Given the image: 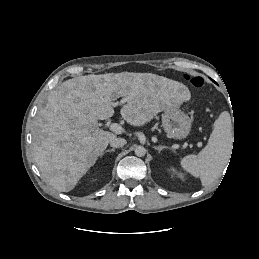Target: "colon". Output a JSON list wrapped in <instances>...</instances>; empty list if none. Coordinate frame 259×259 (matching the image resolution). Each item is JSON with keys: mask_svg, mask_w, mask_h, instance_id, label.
<instances>
[{"mask_svg": "<svg viewBox=\"0 0 259 259\" xmlns=\"http://www.w3.org/2000/svg\"><path fill=\"white\" fill-rule=\"evenodd\" d=\"M184 78L194 87L199 88L203 85L204 81L201 77H193L185 74Z\"/></svg>", "mask_w": 259, "mask_h": 259, "instance_id": "obj_1", "label": "colon"}]
</instances>
